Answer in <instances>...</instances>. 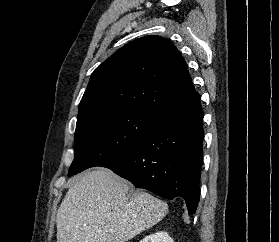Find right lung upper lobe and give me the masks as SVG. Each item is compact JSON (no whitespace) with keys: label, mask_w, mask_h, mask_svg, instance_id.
Wrapping results in <instances>:
<instances>
[{"label":"right lung upper lobe","mask_w":279,"mask_h":242,"mask_svg":"<svg viewBox=\"0 0 279 242\" xmlns=\"http://www.w3.org/2000/svg\"><path fill=\"white\" fill-rule=\"evenodd\" d=\"M198 97L179 50L151 35L126 44L95 69L78 117L122 109L160 113Z\"/></svg>","instance_id":"cb5924a9"}]
</instances>
